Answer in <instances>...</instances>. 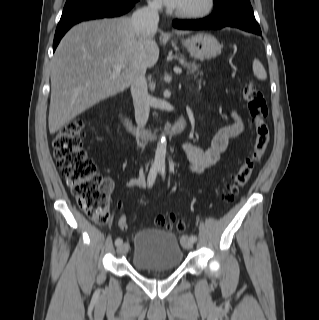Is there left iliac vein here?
Masks as SVG:
<instances>
[{
    "label": "left iliac vein",
    "instance_id": "obj_1",
    "mask_svg": "<svg viewBox=\"0 0 319 320\" xmlns=\"http://www.w3.org/2000/svg\"><path fill=\"white\" fill-rule=\"evenodd\" d=\"M193 243L194 242L190 241V239L187 236H183L181 238V244L185 249H192Z\"/></svg>",
    "mask_w": 319,
    "mask_h": 320
}]
</instances>
